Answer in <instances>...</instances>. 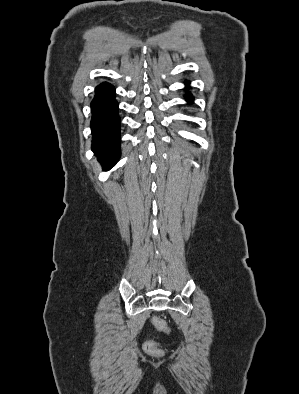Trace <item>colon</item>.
<instances>
[{"mask_svg":"<svg viewBox=\"0 0 299 394\" xmlns=\"http://www.w3.org/2000/svg\"><path fill=\"white\" fill-rule=\"evenodd\" d=\"M153 323L160 332L165 334L169 333V327L161 317L154 316ZM144 350L148 355L153 357H159L162 355V350L159 348V342L155 340H148L145 342Z\"/></svg>","mask_w":299,"mask_h":394,"instance_id":"colon-1","label":"colon"}]
</instances>
